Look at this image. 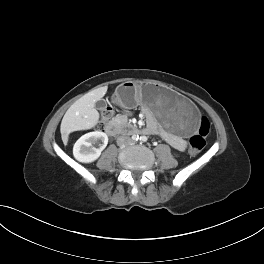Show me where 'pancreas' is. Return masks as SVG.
I'll return each mask as SVG.
<instances>
[{
    "mask_svg": "<svg viewBox=\"0 0 264 264\" xmlns=\"http://www.w3.org/2000/svg\"><path fill=\"white\" fill-rule=\"evenodd\" d=\"M117 120H118L119 122H122V121L125 120V117H120V118H118Z\"/></svg>",
    "mask_w": 264,
    "mask_h": 264,
    "instance_id": "pancreas-1",
    "label": "pancreas"
}]
</instances>
